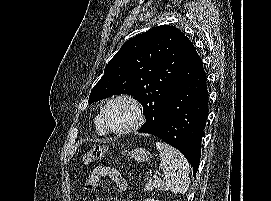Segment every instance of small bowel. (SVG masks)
I'll use <instances>...</instances> for the list:
<instances>
[{"label": "small bowel", "mask_w": 271, "mask_h": 201, "mask_svg": "<svg viewBox=\"0 0 271 201\" xmlns=\"http://www.w3.org/2000/svg\"><path fill=\"white\" fill-rule=\"evenodd\" d=\"M109 178L120 191L127 190V181L124 176L115 168L100 165L94 168L85 180V188L87 190H95L100 185L102 179Z\"/></svg>", "instance_id": "1"}]
</instances>
